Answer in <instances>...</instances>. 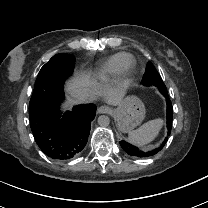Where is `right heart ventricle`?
Returning a JSON list of instances; mask_svg holds the SVG:
<instances>
[{
  "instance_id": "1",
  "label": "right heart ventricle",
  "mask_w": 208,
  "mask_h": 208,
  "mask_svg": "<svg viewBox=\"0 0 208 208\" xmlns=\"http://www.w3.org/2000/svg\"><path fill=\"white\" fill-rule=\"evenodd\" d=\"M135 62V57L129 52H118L98 64L90 73L91 80L98 87L113 84Z\"/></svg>"
}]
</instances>
